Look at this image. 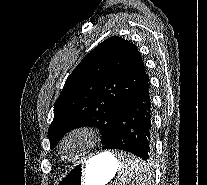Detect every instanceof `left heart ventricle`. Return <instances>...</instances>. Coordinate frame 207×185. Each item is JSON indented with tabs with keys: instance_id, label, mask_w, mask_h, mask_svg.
<instances>
[{
	"instance_id": "1",
	"label": "left heart ventricle",
	"mask_w": 207,
	"mask_h": 185,
	"mask_svg": "<svg viewBox=\"0 0 207 185\" xmlns=\"http://www.w3.org/2000/svg\"><path fill=\"white\" fill-rule=\"evenodd\" d=\"M87 145L88 141L83 135H75L64 143L63 155L67 159H72L80 154Z\"/></svg>"
}]
</instances>
